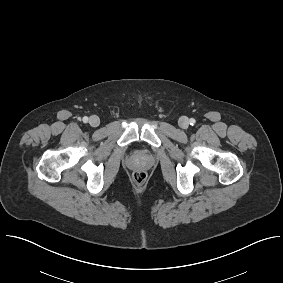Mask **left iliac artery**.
Returning a JSON list of instances; mask_svg holds the SVG:
<instances>
[{
    "instance_id": "obj_1",
    "label": "left iliac artery",
    "mask_w": 283,
    "mask_h": 283,
    "mask_svg": "<svg viewBox=\"0 0 283 283\" xmlns=\"http://www.w3.org/2000/svg\"><path fill=\"white\" fill-rule=\"evenodd\" d=\"M189 123H190V125H192V126H193V125L196 123V121H195V119H194V118H191V119H190V121H189Z\"/></svg>"
}]
</instances>
